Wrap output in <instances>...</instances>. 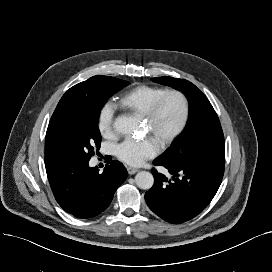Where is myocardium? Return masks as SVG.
Here are the masks:
<instances>
[{
	"instance_id": "1",
	"label": "myocardium",
	"mask_w": 272,
	"mask_h": 272,
	"mask_svg": "<svg viewBox=\"0 0 272 272\" xmlns=\"http://www.w3.org/2000/svg\"><path fill=\"white\" fill-rule=\"evenodd\" d=\"M175 97L178 99L181 105V116L178 124L175 126L173 130L167 133L163 139L160 141L162 146H166L174 141L185 129L188 119H189V101L186 95L177 89L166 90L157 100L152 104L150 109L144 115L145 119L148 123L153 124L159 116V113L163 107L165 101L170 98Z\"/></svg>"
}]
</instances>
